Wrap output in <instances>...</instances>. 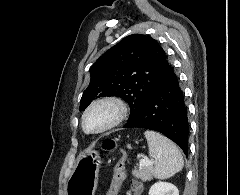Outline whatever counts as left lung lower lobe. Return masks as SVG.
<instances>
[{
	"instance_id": "0a47b994",
	"label": "left lung lower lobe",
	"mask_w": 240,
	"mask_h": 195,
	"mask_svg": "<svg viewBox=\"0 0 240 195\" xmlns=\"http://www.w3.org/2000/svg\"><path fill=\"white\" fill-rule=\"evenodd\" d=\"M124 128L158 131L177 143L187 154L189 130L187 108L179 80L171 66L165 78L150 92L140 111Z\"/></svg>"
}]
</instances>
